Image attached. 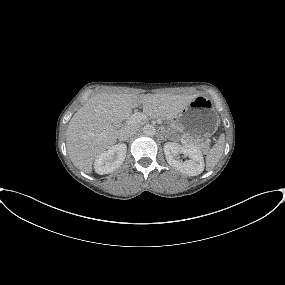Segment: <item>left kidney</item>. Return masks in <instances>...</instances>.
Masks as SVG:
<instances>
[{
    "label": "left kidney",
    "mask_w": 285,
    "mask_h": 285,
    "mask_svg": "<svg viewBox=\"0 0 285 285\" xmlns=\"http://www.w3.org/2000/svg\"><path fill=\"white\" fill-rule=\"evenodd\" d=\"M164 154L168 164L176 170L188 176H196L204 170V159L200 148L197 146L186 144L180 145L175 142H167L164 144ZM183 153L190 159L181 161L178 157Z\"/></svg>",
    "instance_id": "obj_1"
}]
</instances>
